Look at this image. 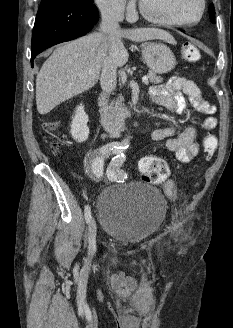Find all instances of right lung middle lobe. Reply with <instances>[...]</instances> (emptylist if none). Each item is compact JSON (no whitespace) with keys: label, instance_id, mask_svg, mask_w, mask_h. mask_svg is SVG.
Masks as SVG:
<instances>
[{"label":"right lung middle lobe","instance_id":"right-lung-middle-lobe-1","mask_svg":"<svg viewBox=\"0 0 233 328\" xmlns=\"http://www.w3.org/2000/svg\"><path fill=\"white\" fill-rule=\"evenodd\" d=\"M65 1H71V2H76V3L94 5L93 0H65Z\"/></svg>","mask_w":233,"mask_h":328}]
</instances>
